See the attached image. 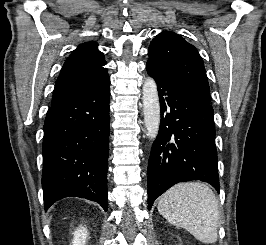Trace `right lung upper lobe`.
<instances>
[{
	"instance_id": "1",
	"label": "right lung upper lobe",
	"mask_w": 266,
	"mask_h": 245,
	"mask_svg": "<svg viewBox=\"0 0 266 245\" xmlns=\"http://www.w3.org/2000/svg\"><path fill=\"white\" fill-rule=\"evenodd\" d=\"M102 52L94 41L85 42L65 61L53 91L52 104H56L84 87L109 82Z\"/></svg>"
}]
</instances>
